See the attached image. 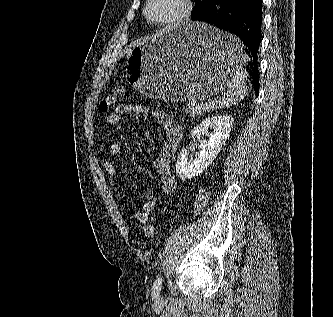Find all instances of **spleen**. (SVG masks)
I'll return each instance as SVG.
<instances>
[{"label": "spleen", "mask_w": 333, "mask_h": 317, "mask_svg": "<svg viewBox=\"0 0 333 317\" xmlns=\"http://www.w3.org/2000/svg\"><path fill=\"white\" fill-rule=\"evenodd\" d=\"M223 44L230 50L232 62V74L226 93L216 104L217 108L230 107L240 102L247 94V72L242 66L246 56L241 53V42L233 35L222 32Z\"/></svg>", "instance_id": "obj_1"}]
</instances>
